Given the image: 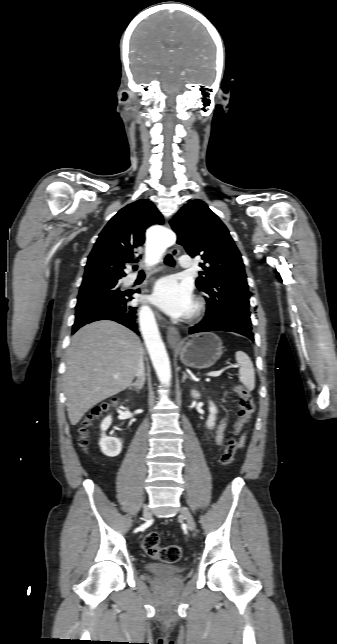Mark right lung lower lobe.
I'll use <instances>...</instances> for the list:
<instances>
[{
	"label": "right lung lower lobe",
	"instance_id": "obj_1",
	"mask_svg": "<svg viewBox=\"0 0 337 644\" xmlns=\"http://www.w3.org/2000/svg\"><path fill=\"white\" fill-rule=\"evenodd\" d=\"M139 290L129 292L116 300L93 304L76 309L75 323L72 327V333H75L85 324L98 320H113L139 334L137 323V307L130 305L134 293Z\"/></svg>",
	"mask_w": 337,
	"mask_h": 644
}]
</instances>
